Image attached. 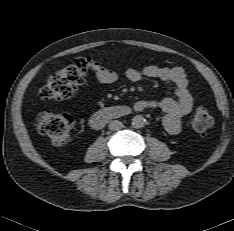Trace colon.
<instances>
[{"instance_id":"colon-1","label":"colon","mask_w":234,"mask_h":231,"mask_svg":"<svg viewBox=\"0 0 234 231\" xmlns=\"http://www.w3.org/2000/svg\"><path fill=\"white\" fill-rule=\"evenodd\" d=\"M95 66L96 64L89 57L72 60L46 80L40 90V96L43 99L56 101L70 97L76 88L87 79ZM212 124L213 118L209 111L203 106H198L192 117L194 130L205 133ZM74 125L75 118L71 112L44 111L36 119L38 131L48 137L54 146H62L67 143Z\"/></svg>"}]
</instances>
